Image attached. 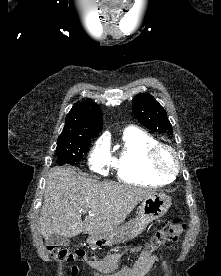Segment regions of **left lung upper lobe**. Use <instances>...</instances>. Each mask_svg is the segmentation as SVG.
I'll list each match as a JSON object with an SVG mask.
<instances>
[{"label": "left lung upper lobe", "instance_id": "5c2ea615", "mask_svg": "<svg viewBox=\"0 0 221 276\" xmlns=\"http://www.w3.org/2000/svg\"><path fill=\"white\" fill-rule=\"evenodd\" d=\"M132 110L139 122L148 129L158 133H172L166 111L149 93L135 96Z\"/></svg>", "mask_w": 221, "mask_h": 276}]
</instances>
